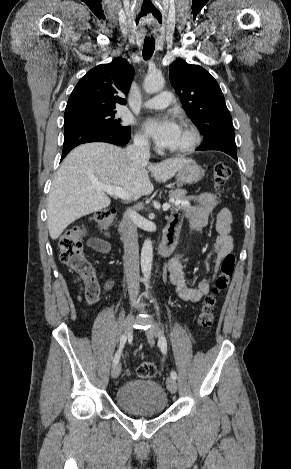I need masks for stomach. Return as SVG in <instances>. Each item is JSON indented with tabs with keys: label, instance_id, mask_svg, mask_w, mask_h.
I'll list each match as a JSON object with an SVG mask.
<instances>
[{
	"label": "stomach",
	"instance_id": "stomach-1",
	"mask_svg": "<svg viewBox=\"0 0 291 469\" xmlns=\"http://www.w3.org/2000/svg\"><path fill=\"white\" fill-rule=\"evenodd\" d=\"M204 170L195 161H191L182 166L177 172V179L183 184H193L202 179Z\"/></svg>",
	"mask_w": 291,
	"mask_h": 469
}]
</instances>
